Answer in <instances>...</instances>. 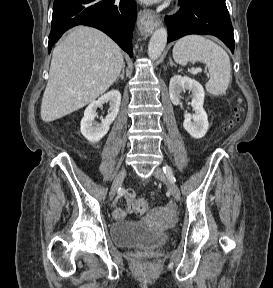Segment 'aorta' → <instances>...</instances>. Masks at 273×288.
<instances>
[{
    "label": "aorta",
    "instance_id": "1",
    "mask_svg": "<svg viewBox=\"0 0 273 288\" xmlns=\"http://www.w3.org/2000/svg\"><path fill=\"white\" fill-rule=\"evenodd\" d=\"M167 43V30L159 28L154 31L148 45V56L152 60H156L162 54Z\"/></svg>",
    "mask_w": 273,
    "mask_h": 288
}]
</instances>
